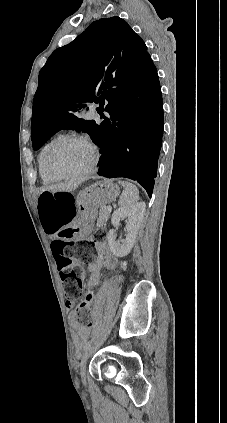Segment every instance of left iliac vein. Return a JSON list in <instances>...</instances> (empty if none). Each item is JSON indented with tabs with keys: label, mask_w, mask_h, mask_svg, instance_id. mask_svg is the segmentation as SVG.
Segmentation results:
<instances>
[{
	"label": "left iliac vein",
	"mask_w": 227,
	"mask_h": 423,
	"mask_svg": "<svg viewBox=\"0 0 227 423\" xmlns=\"http://www.w3.org/2000/svg\"><path fill=\"white\" fill-rule=\"evenodd\" d=\"M94 345H90L84 352L81 363H80V375L83 384L86 383V368H87V360L89 358L90 353L93 351Z\"/></svg>",
	"instance_id": "left-iliac-vein-1"
}]
</instances>
